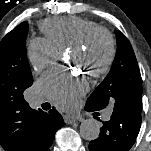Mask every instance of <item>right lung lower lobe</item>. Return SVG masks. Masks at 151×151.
<instances>
[{"label": "right lung lower lobe", "instance_id": "obj_1", "mask_svg": "<svg viewBox=\"0 0 151 151\" xmlns=\"http://www.w3.org/2000/svg\"><path fill=\"white\" fill-rule=\"evenodd\" d=\"M41 115L43 135L38 151H50L49 148L53 143L56 131L63 126V118L54 107L49 113L41 111Z\"/></svg>", "mask_w": 151, "mask_h": 151}]
</instances>
